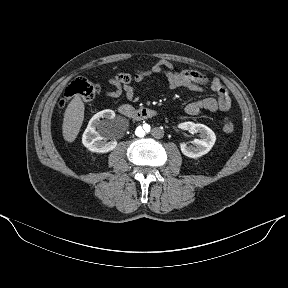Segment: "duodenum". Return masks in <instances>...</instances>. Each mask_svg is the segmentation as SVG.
<instances>
[{
	"mask_svg": "<svg viewBox=\"0 0 288 288\" xmlns=\"http://www.w3.org/2000/svg\"><path fill=\"white\" fill-rule=\"evenodd\" d=\"M120 114L128 119L141 121L155 117L157 111L152 108H134L130 105H123L120 107Z\"/></svg>",
	"mask_w": 288,
	"mask_h": 288,
	"instance_id": "duodenum-1",
	"label": "duodenum"
}]
</instances>
